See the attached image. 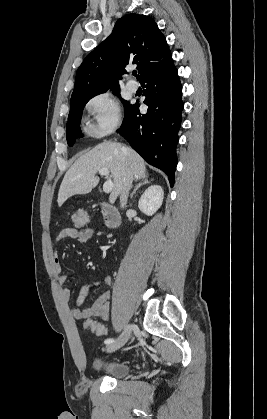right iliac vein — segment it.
<instances>
[{
	"instance_id": "63e3f726",
	"label": "right iliac vein",
	"mask_w": 267,
	"mask_h": 419,
	"mask_svg": "<svg viewBox=\"0 0 267 419\" xmlns=\"http://www.w3.org/2000/svg\"><path fill=\"white\" fill-rule=\"evenodd\" d=\"M131 331H132V325L129 324L124 328V331L122 332L120 337L115 342L107 345L106 351L107 352H113V351L121 348L123 345H125V343L128 341V339L131 335Z\"/></svg>"
}]
</instances>
